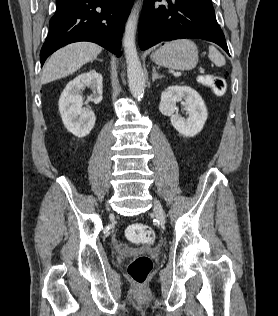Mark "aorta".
<instances>
[{
  "mask_svg": "<svg viewBox=\"0 0 278 316\" xmlns=\"http://www.w3.org/2000/svg\"><path fill=\"white\" fill-rule=\"evenodd\" d=\"M139 12L140 2H137L128 17L123 36V48L127 63L128 85L131 94L136 99H141L143 97L145 88L144 73L135 45Z\"/></svg>",
  "mask_w": 278,
  "mask_h": 316,
  "instance_id": "aorta-1",
  "label": "aorta"
}]
</instances>
